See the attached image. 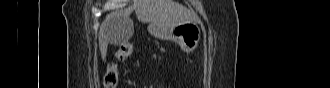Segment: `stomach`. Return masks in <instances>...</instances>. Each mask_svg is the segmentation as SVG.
I'll return each mask as SVG.
<instances>
[{
  "mask_svg": "<svg viewBox=\"0 0 330 88\" xmlns=\"http://www.w3.org/2000/svg\"><path fill=\"white\" fill-rule=\"evenodd\" d=\"M161 26L163 36L176 41L185 52L193 51L201 38V29L196 23L185 22Z\"/></svg>",
  "mask_w": 330,
  "mask_h": 88,
  "instance_id": "obj_1",
  "label": "stomach"
}]
</instances>
